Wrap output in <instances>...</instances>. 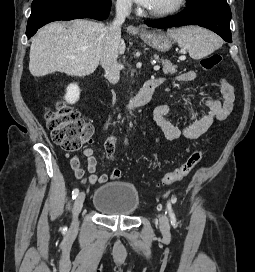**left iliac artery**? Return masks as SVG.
<instances>
[{
    "label": "left iliac artery",
    "instance_id": "44dca946",
    "mask_svg": "<svg viewBox=\"0 0 255 272\" xmlns=\"http://www.w3.org/2000/svg\"><path fill=\"white\" fill-rule=\"evenodd\" d=\"M171 202H175V198H171V200L168 202L167 204V209H168V212H169V216H170V219H171V224L175 227L176 226V217H175V214L172 210V205H171Z\"/></svg>",
    "mask_w": 255,
    "mask_h": 272
}]
</instances>
